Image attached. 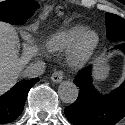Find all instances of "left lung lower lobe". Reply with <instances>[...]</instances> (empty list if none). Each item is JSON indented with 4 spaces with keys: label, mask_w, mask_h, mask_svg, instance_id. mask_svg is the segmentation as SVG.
<instances>
[{
    "label": "left lung lower lobe",
    "mask_w": 125,
    "mask_h": 125,
    "mask_svg": "<svg viewBox=\"0 0 125 125\" xmlns=\"http://www.w3.org/2000/svg\"><path fill=\"white\" fill-rule=\"evenodd\" d=\"M116 48L125 53V43ZM92 67L78 72L74 83L79 87L77 100L64 110L73 125H115L125 116V81L108 95H100L92 85Z\"/></svg>",
    "instance_id": "left-lung-lower-lobe-1"
}]
</instances>
